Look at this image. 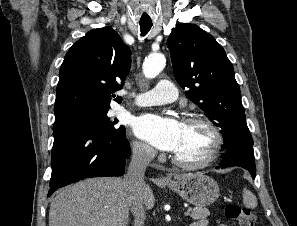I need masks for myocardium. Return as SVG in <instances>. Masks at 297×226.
<instances>
[{"mask_svg": "<svg viewBox=\"0 0 297 226\" xmlns=\"http://www.w3.org/2000/svg\"><path fill=\"white\" fill-rule=\"evenodd\" d=\"M183 123L188 124V123H201L203 124L213 135V143L207 153V155L197 161H185L180 158H178L176 155H172L171 159L172 162L181 167V168H186V169H199L206 167L213 163L215 159L218 157L220 150L223 146L224 139L223 135L218 128V126L207 116L201 115V114H196V115H191L186 117L183 120Z\"/></svg>", "mask_w": 297, "mask_h": 226, "instance_id": "obj_1", "label": "myocardium"}]
</instances>
